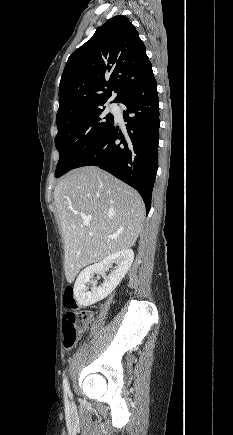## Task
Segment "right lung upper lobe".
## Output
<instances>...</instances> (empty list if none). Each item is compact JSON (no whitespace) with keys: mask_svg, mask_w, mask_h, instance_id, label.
<instances>
[{"mask_svg":"<svg viewBox=\"0 0 233 435\" xmlns=\"http://www.w3.org/2000/svg\"><path fill=\"white\" fill-rule=\"evenodd\" d=\"M152 72L145 45L126 16L109 19L71 54L59 87L56 121L102 106L112 94L120 102Z\"/></svg>","mask_w":233,"mask_h":435,"instance_id":"1","label":"right lung upper lobe"}]
</instances>
